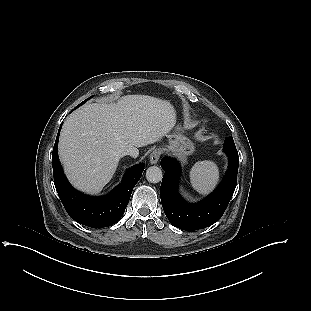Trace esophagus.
I'll return each instance as SVG.
<instances>
[{
	"label": "esophagus",
	"mask_w": 311,
	"mask_h": 311,
	"mask_svg": "<svg viewBox=\"0 0 311 311\" xmlns=\"http://www.w3.org/2000/svg\"><path fill=\"white\" fill-rule=\"evenodd\" d=\"M161 156V150L160 149H154L150 154V163L156 164Z\"/></svg>",
	"instance_id": "1"
}]
</instances>
